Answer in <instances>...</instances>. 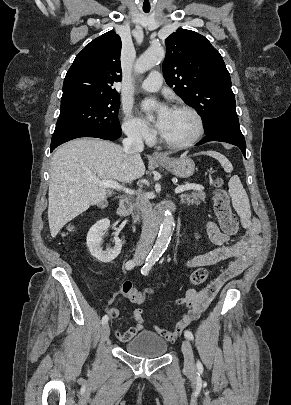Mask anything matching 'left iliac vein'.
Listing matches in <instances>:
<instances>
[{"instance_id": "obj_1", "label": "left iliac vein", "mask_w": 291, "mask_h": 405, "mask_svg": "<svg viewBox=\"0 0 291 405\" xmlns=\"http://www.w3.org/2000/svg\"><path fill=\"white\" fill-rule=\"evenodd\" d=\"M182 353L184 356V367L187 371H193L195 368L194 356L191 344L188 340L182 342Z\"/></svg>"}]
</instances>
